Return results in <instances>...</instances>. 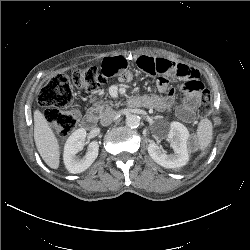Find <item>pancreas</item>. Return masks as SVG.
I'll return each mask as SVG.
<instances>
[{"instance_id": "pancreas-1", "label": "pancreas", "mask_w": 250, "mask_h": 250, "mask_svg": "<svg viewBox=\"0 0 250 250\" xmlns=\"http://www.w3.org/2000/svg\"><path fill=\"white\" fill-rule=\"evenodd\" d=\"M112 107H118V104H113L112 102L97 104L95 107L91 108L90 111L101 117L105 112L111 110Z\"/></svg>"}]
</instances>
